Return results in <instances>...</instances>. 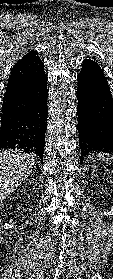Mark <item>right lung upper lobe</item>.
Instances as JSON below:
<instances>
[{
  "label": "right lung upper lobe",
  "instance_id": "1",
  "mask_svg": "<svg viewBox=\"0 0 113 279\" xmlns=\"http://www.w3.org/2000/svg\"><path fill=\"white\" fill-rule=\"evenodd\" d=\"M40 57L37 51H30L24 55L17 63L13 66L10 77L8 79L6 92L4 94V100L20 86L25 80L32 76L37 68L42 65ZM4 103V101H3Z\"/></svg>",
  "mask_w": 113,
  "mask_h": 279
}]
</instances>
